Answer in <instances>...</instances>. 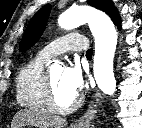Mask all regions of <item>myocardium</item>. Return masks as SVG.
I'll return each instance as SVG.
<instances>
[{
  "instance_id": "obj_1",
  "label": "myocardium",
  "mask_w": 142,
  "mask_h": 128,
  "mask_svg": "<svg viewBox=\"0 0 142 128\" xmlns=\"http://www.w3.org/2000/svg\"><path fill=\"white\" fill-rule=\"evenodd\" d=\"M45 101L47 107L54 113L67 114L76 109L80 104V99L76 96L74 100L66 107H61L57 104L52 85L50 72H46L45 78Z\"/></svg>"
}]
</instances>
